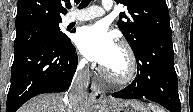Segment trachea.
Here are the masks:
<instances>
[{"label": "trachea", "instance_id": "3493384b", "mask_svg": "<svg viewBox=\"0 0 193 112\" xmlns=\"http://www.w3.org/2000/svg\"><path fill=\"white\" fill-rule=\"evenodd\" d=\"M91 2V0H83L82 2H81V4L79 5V9H81V8H85L86 6H88V4ZM68 8H71V5H68L67 6Z\"/></svg>", "mask_w": 193, "mask_h": 112}]
</instances>
